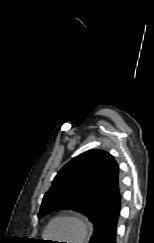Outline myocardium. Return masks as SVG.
<instances>
[{
	"label": "myocardium",
	"instance_id": "1",
	"mask_svg": "<svg viewBox=\"0 0 154 243\" xmlns=\"http://www.w3.org/2000/svg\"><path fill=\"white\" fill-rule=\"evenodd\" d=\"M57 221H69L75 224L76 229H77V238L75 241H73V243H83V241L85 240L86 236H87V224L86 222L77 215H73V214H61V215H57L54 218H52L50 220V222L48 223L46 230H45V234L48 236L50 229L52 228L53 224ZM67 243H71V241L67 242Z\"/></svg>",
	"mask_w": 154,
	"mask_h": 243
}]
</instances>
